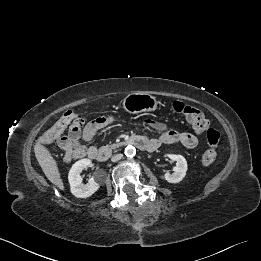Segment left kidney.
Instances as JSON below:
<instances>
[{
	"label": "left kidney",
	"mask_w": 261,
	"mask_h": 261,
	"mask_svg": "<svg viewBox=\"0 0 261 261\" xmlns=\"http://www.w3.org/2000/svg\"><path fill=\"white\" fill-rule=\"evenodd\" d=\"M171 160L176 161V166L173 168L174 173L170 174L169 172L165 173L163 176H160L162 179H165L169 183H179L183 180L187 171V161L182 155L178 154H168L167 155Z\"/></svg>",
	"instance_id": "obj_1"
}]
</instances>
